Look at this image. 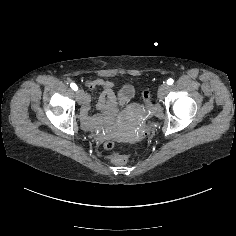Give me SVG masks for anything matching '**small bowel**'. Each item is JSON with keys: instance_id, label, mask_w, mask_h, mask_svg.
<instances>
[{"instance_id": "c3829d8e", "label": "small bowel", "mask_w": 236, "mask_h": 236, "mask_svg": "<svg viewBox=\"0 0 236 236\" xmlns=\"http://www.w3.org/2000/svg\"><path fill=\"white\" fill-rule=\"evenodd\" d=\"M87 86L89 88L102 87V88H104V91H111L112 92L111 88L114 86V84L112 82L106 81V80H93V81H89L87 83ZM86 97H89V96L84 95L83 100H85ZM111 115H109L108 117H110Z\"/></svg>"}]
</instances>
